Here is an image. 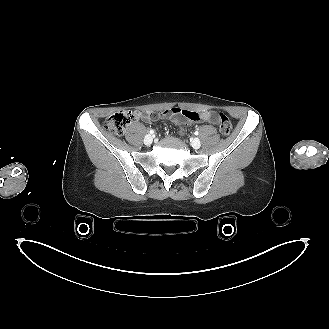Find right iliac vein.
Wrapping results in <instances>:
<instances>
[{
  "label": "right iliac vein",
  "mask_w": 329,
  "mask_h": 329,
  "mask_svg": "<svg viewBox=\"0 0 329 329\" xmlns=\"http://www.w3.org/2000/svg\"><path fill=\"white\" fill-rule=\"evenodd\" d=\"M153 141V137L151 135H146L145 138H144V144L145 145H150Z\"/></svg>",
  "instance_id": "63e3f726"
}]
</instances>
